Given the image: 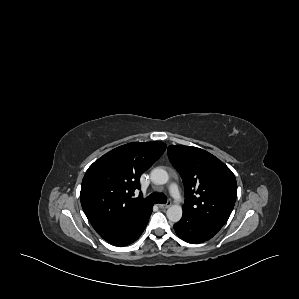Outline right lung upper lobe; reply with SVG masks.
Segmentation results:
<instances>
[{
	"label": "right lung upper lobe",
	"instance_id": "cb5924a9",
	"mask_svg": "<svg viewBox=\"0 0 299 299\" xmlns=\"http://www.w3.org/2000/svg\"><path fill=\"white\" fill-rule=\"evenodd\" d=\"M162 142H132L96 160L86 171L80 199L97 233L141 221L152 204L133 198L140 176L164 153Z\"/></svg>",
	"mask_w": 299,
	"mask_h": 299
}]
</instances>
